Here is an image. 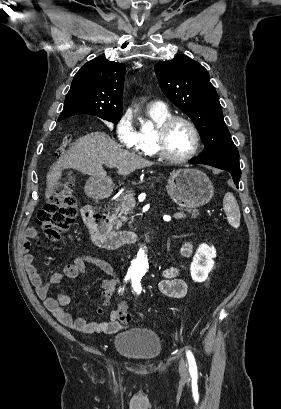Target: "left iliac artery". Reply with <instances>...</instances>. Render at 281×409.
Segmentation results:
<instances>
[{
    "mask_svg": "<svg viewBox=\"0 0 281 409\" xmlns=\"http://www.w3.org/2000/svg\"><path fill=\"white\" fill-rule=\"evenodd\" d=\"M132 287L134 289V291L139 294L141 293V284H140V278L138 277H134L132 278ZM187 358H188V362H189V371L191 376L196 379L197 378V367H196V362L194 359V356L192 354L191 351H187Z\"/></svg>",
    "mask_w": 281,
    "mask_h": 409,
    "instance_id": "left-iliac-artery-1",
    "label": "left iliac artery"
}]
</instances>
